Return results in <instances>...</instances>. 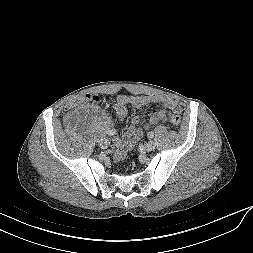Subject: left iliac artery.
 I'll list each match as a JSON object with an SVG mask.
<instances>
[{
	"instance_id": "1",
	"label": "left iliac artery",
	"mask_w": 253,
	"mask_h": 253,
	"mask_svg": "<svg viewBox=\"0 0 253 253\" xmlns=\"http://www.w3.org/2000/svg\"><path fill=\"white\" fill-rule=\"evenodd\" d=\"M147 136H148L149 139H152V138L154 137V134H153V132H149V133L147 134Z\"/></svg>"
}]
</instances>
